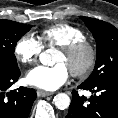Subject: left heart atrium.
I'll return each instance as SVG.
<instances>
[{
	"mask_svg": "<svg viewBox=\"0 0 118 118\" xmlns=\"http://www.w3.org/2000/svg\"><path fill=\"white\" fill-rule=\"evenodd\" d=\"M69 78V70L62 63L51 66H37L26 75V80L30 85L44 89L56 90L62 86Z\"/></svg>",
	"mask_w": 118,
	"mask_h": 118,
	"instance_id": "39dd6f15",
	"label": "left heart atrium"
}]
</instances>
